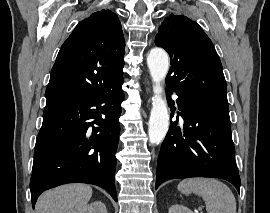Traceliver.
<instances>
[{
  "instance_id": "6515ba94",
  "label": "liver",
  "mask_w": 270,
  "mask_h": 213,
  "mask_svg": "<svg viewBox=\"0 0 270 213\" xmlns=\"http://www.w3.org/2000/svg\"><path fill=\"white\" fill-rule=\"evenodd\" d=\"M92 188L84 184H69L43 193L37 200L36 213H77L87 205Z\"/></svg>"
}]
</instances>
